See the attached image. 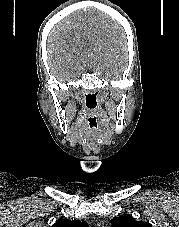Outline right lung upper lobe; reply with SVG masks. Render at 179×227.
Returning <instances> with one entry per match:
<instances>
[{"instance_id":"obj_1","label":"right lung upper lobe","mask_w":179,"mask_h":227,"mask_svg":"<svg viewBox=\"0 0 179 227\" xmlns=\"http://www.w3.org/2000/svg\"><path fill=\"white\" fill-rule=\"evenodd\" d=\"M52 227H88V224L85 221L58 219Z\"/></svg>"}]
</instances>
